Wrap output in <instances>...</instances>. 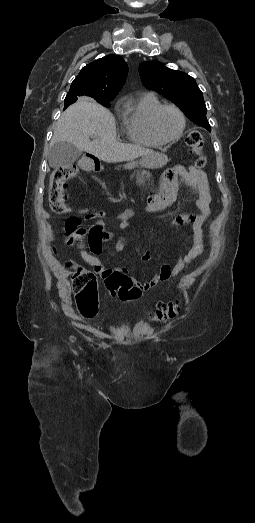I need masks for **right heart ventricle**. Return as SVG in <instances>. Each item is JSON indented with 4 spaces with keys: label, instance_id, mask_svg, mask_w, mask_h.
Masks as SVG:
<instances>
[{
    "label": "right heart ventricle",
    "instance_id": "obj_1",
    "mask_svg": "<svg viewBox=\"0 0 255 523\" xmlns=\"http://www.w3.org/2000/svg\"><path fill=\"white\" fill-rule=\"evenodd\" d=\"M161 104L155 92L146 91L137 100L125 105L119 124L128 142L144 146L161 144L153 137L149 128L150 116Z\"/></svg>",
    "mask_w": 255,
    "mask_h": 523
}]
</instances>
